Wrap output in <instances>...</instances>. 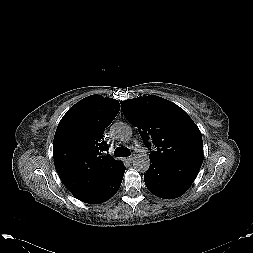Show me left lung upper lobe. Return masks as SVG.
<instances>
[{"instance_id":"1","label":"left lung upper lobe","mask_w":253,"mask_h":253,"mask_svg":"<svg viewBox=\"0 0 253 253\" xmlns=\"http://www.w3.org/2000/svg\"><path fill=\"white\" fill-rule=\"evenodd\" d=\"M126 119L138 128L150 159L203 162L202 135L189 115L164 98L149 95L121 101Z\"/></svg>"}]
</instances>
